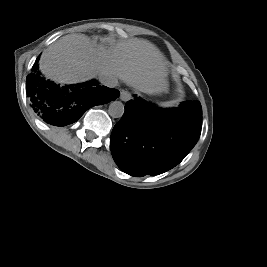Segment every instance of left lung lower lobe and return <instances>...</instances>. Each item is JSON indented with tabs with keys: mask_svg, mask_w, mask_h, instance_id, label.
I'll use <instances>...</instances> for the list:
<instances>
[{
	"mask_svg": "<svg viewBox=\"0 0 267 267\" xmlns=\"http://www.w3.org/2000/svg\"><path fill=\"white\" fill-rule=\"evenodd\" d=\"M202 124L198 101L161 109L141 98L129 100L110 137L118 167L132 176L157 175L179 164L196 144Z\"/></svg>",
	"mask_w": 267,
	"mask_h": 267,
	"instance_id": "obj_1",
	"label": "left lung lower lobe"
}]
</instances>
